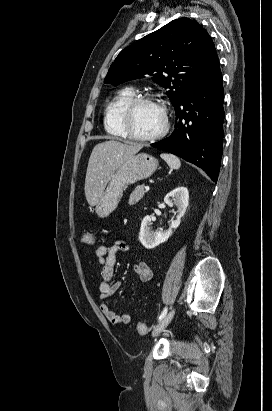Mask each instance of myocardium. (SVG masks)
I'll use <instances>...</instances> for the list:
<instances>
[{
  "mask_svg": "<svg viewBox=\"0 0 272 411\" xmlns=\"http://www.w3.org/2000/svg\"><path fill=\"white\" fill-rule=\"evenodd\" d=\"M142 103H154L158 105L163 115L162 128L155 134L149 136H141L134 132L132 128V117L136 107ZM122 127L128 138L140 142H154L163 138L169 130V115L168 110L163 102L151 95H135L123 107L121 112Z\"/></svg>",
  "mask_w": 272,
  "mask_h": 411,
  "instance_id": "myocardium-1",
  "label": "myocardium"
}]
</instances>
